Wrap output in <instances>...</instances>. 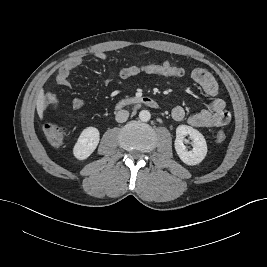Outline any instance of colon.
I'll use <instances>...</instances> for the list:
<instances>
[{
  "label": "colon",
  "instance_id": "obj_1",
  "mask_svg": "<svg viewBox=\"0 0 267 267\" xmlns=\"http://www.w3.org/2000/svg\"><path fill=\"white\" fill-rule=\"evenodd\" d=\"M183 68L176 63H147L144 65H132L122 68L119 71L121 79H129L143 74L148 75H164V76H180ZM44 134L47 140L54 146H59L63 143L66 137V129L57 123H47L43 127ZM226 138L224 132L220 131L216 135L217 142H223Z\"/></svg>",
  "mask_w": 267,
  "mask_h": 267
}]
</instances>
